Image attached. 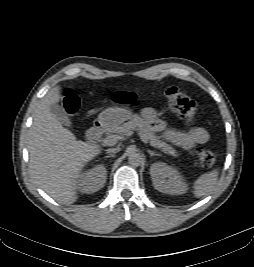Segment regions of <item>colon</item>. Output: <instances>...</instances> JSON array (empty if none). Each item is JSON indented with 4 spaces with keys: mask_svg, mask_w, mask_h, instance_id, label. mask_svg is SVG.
Masks as SVG:
<instances>
[{
    "mask_svg": "<svg viewBox=\"0 0 254 267\" xmlns=\"http://www.w3.org/2000/svg\"><path fill=\"white\" fill-rule=\"evenodd\" d=\"M165 98L168 107L172 112L180 117H192L197 113V103L183 91L177 87H169L165 90ZM113 101L119 104L132 103L136 99V95L132 92L118 91L113 97ZM63 106L67 113L76 114L80 108V99L74 92L67 89L63 93ZM197 164L200 167H211L215 161V154L204 148L196 151Z\"/></svg>",
    "mask_w": 254,
    "mask_h": 267,
    "instance_id": "5ec220e1",
    "label": "colon"
}]
</instances>
